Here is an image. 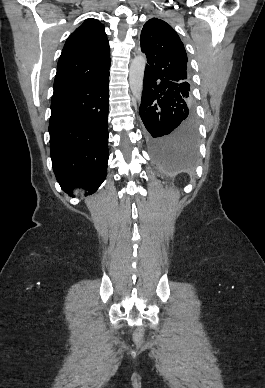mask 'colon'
<instances>
[{"label": "colon", "instance_id": "5ec220e1", "mask_svg": "<svg viewBox=\"0 0 265 388\" xmlns=\"http://www.w3.org/2000/svg\"><path fill=\"white\" fill-rule=\"evenodd\" d=\"M144 336V328H138L134 333V339L136 342H141Z\"/></svg>", "mask_w": 265, "mask_h": 388}]
</instances>
